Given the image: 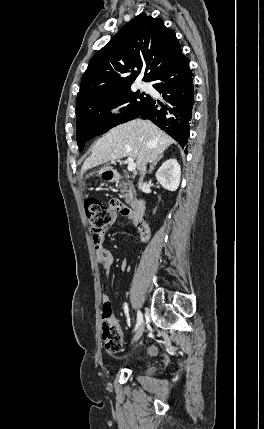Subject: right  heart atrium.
Returning a JSON list of instances; mask_svg holds the SVG:
<instances>
[{
    "label": "right heart atrium",
    "instance_id": "d8ad5b80",
    "mask_svg": "<svg viewBox=\"0 0 264 429\" xmlns=\"http://www.w3.org/2000/svg\"><path fill=\"white\" fill-rule=\"evenodd\" d=\"M124 112H125L124 105L118 102H114L110 104L106 109L107 115L113 118L121 117L124 114Z\"/></svg>",
    "mask_w": 264,
    "mask_h": 429
}]
</instances>
